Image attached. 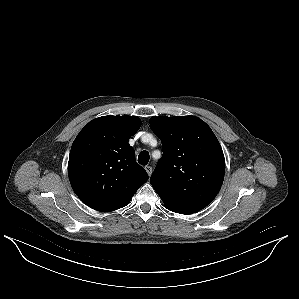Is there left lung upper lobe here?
<instances>
[{
  "label": "left lung upper lobe",
  "mask_w": 299,
  "mask_h": 299,
  "mask_svg": "<svg viewBox=\"0 0 299 299\" xmlns=\"http://www.w3.org/2000/svg\"><path fill=\"white\" fill-rule=\"evenodd\" d=\"M149 123L163 148L151 185L169 210L198 212L224 180L225 159L216 136L195 116L152 117Z\"/></svg>",
  "instance_id": "left-lung-upper-lobe-1"
}]
</instances>
